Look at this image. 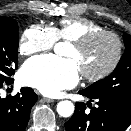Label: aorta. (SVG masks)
Returning a JSON list of instances; mask_svg holds the SVG:
<instances>
[{"label": "aorta", "instance_id": "aorta-1", "mask_svg": "<svg viewBox=\"0 0 131 131\" xmlns=\"http://www.w3.org/2000/svg\"><path fill=\"white\" fill-rule=\"evenodd\" d=\"M65 44L63 42L54 45V52L56 54H63ZM57 112L61 117H69L74 113V104L69 100L60 101L57 104Z\"/></svg>", "mask_w": 131, "mask_h": 131}]
</instances>
